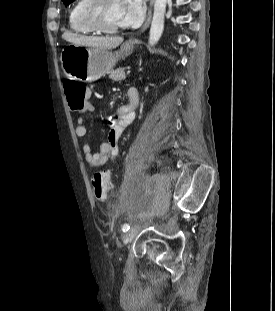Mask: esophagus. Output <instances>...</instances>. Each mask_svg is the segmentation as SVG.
I'll use <instances>...</instances> for the list:
<instances>
[{
  "instance_id": "1",
  "label": "esophagus",
  "mask_w": 275,
  "mask_h": 311,
  "mask_svg": "<svg viewBox=\"0 0 275 311\" xmlns=\"http://www.w3.org/2000/svg\"><path fill=\"white\" fill-rule=\"evenodd\" d=\"M153 0L151 1L150 3V9H149V12H148V16H147V19L144 23V25L142 26L141 28V31L140 32H144L150 25V22H151V18H152V10H153ZM135 40L133 38L129 39V42L130 43H133Z\"/></svg>"
}]
</instances>
